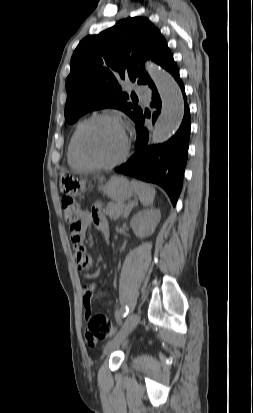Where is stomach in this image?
Returning a JSON list of instances; mask_svg holds the SVG:
<instances>
[{
  "mask_svg": "<svg viewBox=\"0 0 253 413\" xmlns=\"http://www.w3.org/2000/svg\"><path fill=\"white\" fill-rule=\"evenodd\" d=\"M60 191L68 196H80L86 189V181L72 174H62L60 178ZM110 199L115 202H125L134 194V188L127 178L113 176L104 186H99Z\"/></svg>",
  "mask_w": 253,
  "mask_h": 413,
  "instance_id": "obj_1",
  "label": "stomach"
}]
</instances>
